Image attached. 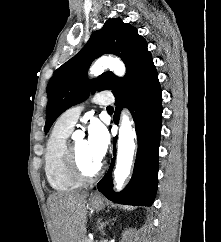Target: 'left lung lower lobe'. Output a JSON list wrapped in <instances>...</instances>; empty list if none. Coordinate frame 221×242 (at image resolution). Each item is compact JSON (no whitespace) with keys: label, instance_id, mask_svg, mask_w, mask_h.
Wrapping results in <instances>:
<instances>
[{"label":"left lung lower lobe","instance_id":"obj_1","mask_svg":"<svg viewBox=\"0 0 221 242\" xmlns=\"http://www.w3.org/2000/svg\"><path fill=\"white\" fill-rule=\"evenodd\" d=\"M113 94L116 105L115 124L118 123L120 111L124 106L129 108L134 118L138 138L137 156L133 176L123 191L116 194L112 189L111 172L114 159L107 174L97 184V188L116 203L151 206L157 191L158 149L162 121V92L155 66H150Z\"/></svg>","mask_w":221,"mask_h":242}]
</instances>
